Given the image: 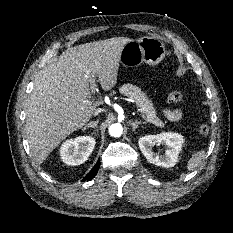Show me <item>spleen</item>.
Returning <instances> with one entry per match:
<instances>
[{
  "instance_id": "1",
  "label": "spleen",
  "mask_w": 233,
  "mask_h": 233,
  "mask_svg": "<svg viewBox=\"0 0 233 233\" xmlns=\"http://www.w3.org/2000/svg\"><path fill=\"white\" fill-rule=\"evenodd\" d=\"M205 156H206L205 150H200L192 154L191 158L189 159L187 163V170L188 171L196 170V168L201 164Z\"/></svg>"
}]
</instances>
